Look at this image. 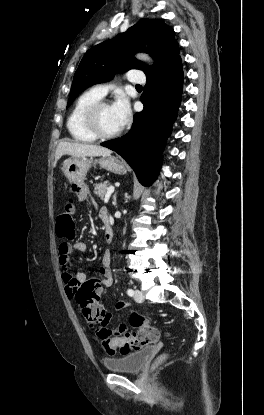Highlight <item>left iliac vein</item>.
<instances>
[{
	"mask_svg": "<svg viewBox=\"0 0 264 415\" xmlns=\"http://www.w3.org/2000/svg\"><path fill=\"white\" fill-rule=\"evenodd\" d=\"M134 300H135L136 302H139V303H141V302H143V301H144V295H143V293H142L140 290H138V289H135V292H134Z\"/></svg>",
	"mask_w": 264,
	"mask_h": 415,
	"instance_id": "1",
	"label": "left iliac vein"
}]
</instances>
